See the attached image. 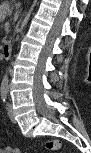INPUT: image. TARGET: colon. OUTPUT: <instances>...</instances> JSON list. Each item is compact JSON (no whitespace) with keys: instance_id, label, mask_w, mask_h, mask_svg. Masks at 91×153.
<instances>
[{"instance_id":"colon-1","label":"colon","mask_w":91,"mask_h":153,"mask_svg":"<svg viewBox=\"0 0 91 153\" xmlns=\"http://www.w3.org/2000/svg\"><path fill=\"white\" fill-rule=\"evenodd\" d=\"M45 146L48 150H58L61 144L57 139H51L46 142Z\"/></svg>"}]
</instances>
